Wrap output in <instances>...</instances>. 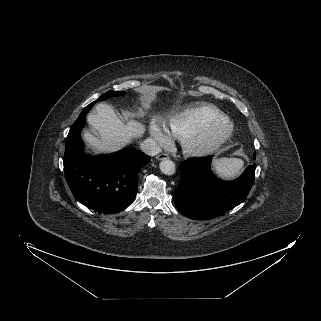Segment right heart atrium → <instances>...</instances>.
I'll return each mask as SVG.
<instances>
[{"label": "right heart atrium", "mask_w": 321, "mask_h": 321, "mask_svg": "<svg viewBox=\"0 0 321 321\" xmlns=\"http://www.w3.org/2000/svg\"><path fill=\"white\" fill-rule=\"evenodd\" d=\"M149 136L151 141L161 147H167L171 144V135L168 133L165 127L159 122H152L149 126Z\"/></svg>", "instance_id": "right-heart-atrium-1"}]
</instances>
